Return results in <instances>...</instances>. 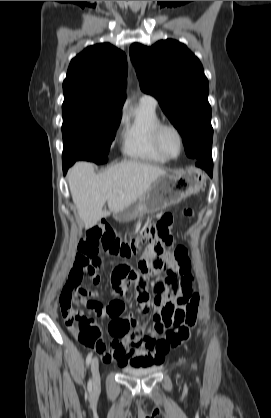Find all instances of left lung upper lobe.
<instances>
[{
    "instance_id": "obj_1",
    "label": "left lung upper lobe",
    "mask_w": 271,
    "mask_h": 418,
    "mask_svg": "<svg viewBox=\"0 0 271 418\" xmlns=\"http://www.w3.org/2000/svg\"><path fill=\"white\" fill-rule=\"evenodd\" d=\"M129 53L142 91L158 100L181 134L187 156L210 157L209 84L199 59L184 44L171 39L151 47L134 43Z\"/></svg>"
}]
</instances>
